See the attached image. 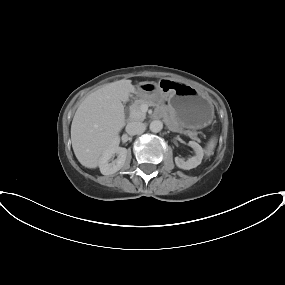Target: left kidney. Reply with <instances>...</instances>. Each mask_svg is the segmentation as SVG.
<instances>
[{"label": "left kidney", "mask_w": 285, "mask_h": 285, "mask_svg": "<svg viewBox=\"0 0 285 285\" xmlns=\"http://www.w3.org/2000/svg\"><path fill=\"white\" fill-rule=\"evenodd\" d=\"M188 145L193 148L196 155L189 158L187 161H184V159L179 157L175 158V163L177 167L184 170H190L200 165L204 156L203 149L198 143H196L195 141H189Z\"/></svg>", "instance_id": "left-kidney-1"}]
</instances>
